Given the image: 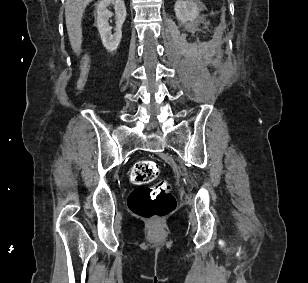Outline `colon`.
Returning <instances> with one entry per match:
<instances>
[{
    "label": "colon",
    "instance_id": "5ec220e1",
    "mask_svg": "<svg viewBox=\"0 0 308 283\" xmlns=\"http://www.w3.org/2000/svg\"><path fill=\"white\" fill-rule=\"evenodd\" d=\"M90 70V54L85 52L77 67L76 86L82 89ZM159 174V166L151 160L136 162L129 171L130 181L137 186L129 196V208L135 215L156 220L170 214L176 200L167 181H160L153 186H147L153 182Z\"/></svg>",
    "mask_w": 308,
    "mask_h": 283
}]
</instances>
